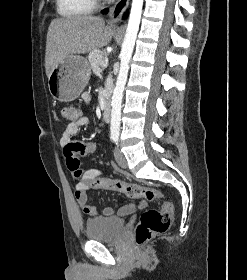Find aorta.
<instances>
[{"instance_id": "aorta-1", "label": "aorta", "mask_w": 247, "mask_h": 280, "mask_svg": "<svg viewBox=\"0 0 247 280\" xmlns=\"http://www.w3.org/2000/svg\"><path fill=\"white\" fill-rule=\"evenodd\" d=\"M143 7V0H132L130 16L126 29L125 38L120 53V70L118 73L116 86L112 96L111 125L110 131L112 136H118L121 122V105L123 92L127 81L129 62L135 46L136 37L139 31Z\"/></svg>"}]
</instances>
